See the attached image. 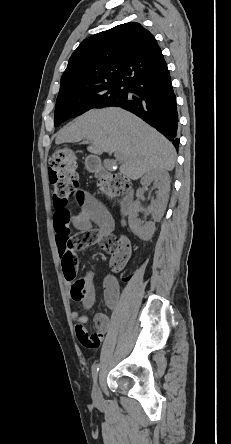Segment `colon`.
Masks as SVG:
<instances>
[{
    "label": "colon",
    "mask_w": 231,
    "mask_h": 444,
    "mask_svg": "<svg viewBox=\"0 0 231 444\" xmlns=\"http://www.w3.org/2000/svg\"><path fill=\"white\" fill-rule=\"evenodd\" d=\"M49 179L53 186L55 199L66 200L75 195L79 188V184L75 171V158L71 150H60L51 157L49 163ZM129 186V181L121 175L108 178L102 183V188L106 192L112 194L125 191ZM126 260V254L117 251L112 256L111 266L114 270H119L123 267ZM76 263L77 256L75 254L68 253L65 255L64 264L66 267L75 269ZM87 290L88 282L85 278H80L74 281L71 287V293L75 299L83 298L86 295Z\"/></svg>",
    "instance_id": "obj_1"
}]
</instances>
